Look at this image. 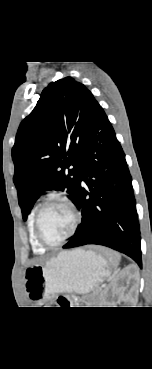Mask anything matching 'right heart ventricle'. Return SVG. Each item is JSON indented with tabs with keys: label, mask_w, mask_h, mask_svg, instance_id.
Masks as SVG:
<instances>
[{
	"label": "right heart ventricle",
	"mask_w": 152,
	"mask_h": 369,
	"mask_svg": "<svg viewBox=\"0 0 152 369\" xmlns=\"http://www.w3.org/2000/svg\"><path fill=\"white\" fill-rule=\"evenodd\" d=\"M35 212L36 210L34 209L28 219V232H29V240L30 243L32 245V248L34 250V252L36 253H43L45 252V248L39 244V242L37 241L36 237H35V233H34V216H35Z\"/></svg>",
	"instance_id": "1"
}]
</instances>
